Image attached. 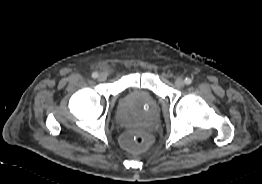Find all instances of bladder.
Segmentation results:
<instances>
[{
	"instance_id": "1",
	"label": "bladder",
	"mask_w": 262,
	"mask_h": 184,
	"mask_svg": "<svg viewBox=\"0 0 262 184\" xmlns=\"http://www.w3.org/2000/svg\"><path fill=\"white\" fill-rule=\"evenodd\" d=\"M150 99L153 101L152 96H150ZM118 121L122 126H124L125 128H128V129L136 127L138 125L135 120L131 119L130 117H128V116H126L122 113L118 114Z\"/></svg>"
}]
</instances>
